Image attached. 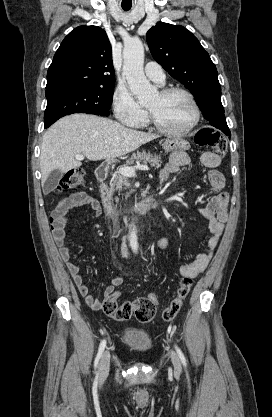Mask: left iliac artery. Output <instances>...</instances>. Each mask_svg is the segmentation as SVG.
Here are the masks:
<instances>
[{
  "label": "left iliac artery",
  "mask_w": 272,
  "mask_h": 417,
  "mask_svg": "<svg viewBox=\"0 0 272 417\" xmlns=\"http://www.w3.org/2000/svg\"><path fill=\"white\" fill-rule=\"evenodd\" d=\"M175 349L177 351V354H178L182 364L186 367L187 362H186V358H185L183 352L181 351V349L177 345H175Z\"/></svg>",
  "instance_id": "44dca946"
}]
</instances>
